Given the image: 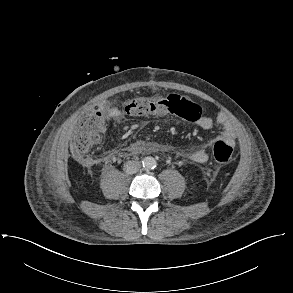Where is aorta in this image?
I'll use <instances>...</instances> for the list:
<instances>
[{"label":"aorta","mask_w":293,"mask_h":293,"mask_svg":"<svg viewBox=\"0 0 293 293\" xmlns=\"http://www.w3.org/2000/svg\"><path fill=\"white\" fill-rule=\"evenodd\" d=\"M142 164L145 169H154L157 162L153 157H145Z\"/></svg>","instance_id":"762f6f07"}]
</instances>
